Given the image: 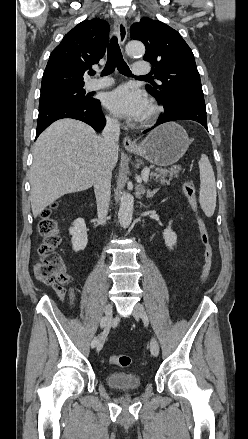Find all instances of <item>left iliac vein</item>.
I'll list each match as a JSON object with an SVG mask.
<instances>
[{"instance_id":"4c4485c4","label":"left iliac vein","mask_w":248,"mask_h":439,"mask_svg":"<svg viewBox=\"0 0 248 439\" xmlns=\"http://www.w3.org/2000/svg\"><path fill=\"white\" fill-rule=\"evenodd\" d=\"M133 315L142 319L144 322H148V316L146 314L145 308L143 305L137 303L134 306ZM150 351L153 356H158L159 354V344L155 336L152 337L150 342Z\"/></svg>"}]
</instances>
